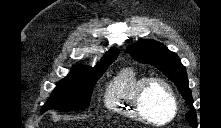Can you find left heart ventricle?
<instances>
[{"label": "left heart ventricle", "mask_w": 221, "mask_h": 128, "mask_svg": "<svg viewBox=\"0 0 221 128\" xmlns=\"http://www.w3.org/2000/svg\"><path fill=\"white\" fill-rule=\"evenodd\" d=\"M144 108L156 123L166 121L172 114V106L168 95L160 85H154L147 91Z\"/></svg>", "instance_id": "left-heart-ventricle-1"}]
</instances>
